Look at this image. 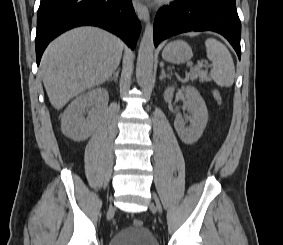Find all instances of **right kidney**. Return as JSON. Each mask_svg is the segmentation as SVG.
<instances>
[{"mask_svg": "<svg viewBox=\"0 0 283 245\" xmlns=\"http://www.w3.org/2000/svg\"><path fill=\"white\" fill-rule=\"evenodd\" d=\"M109 94L104 88H95L76 97L61 118L62 133L75 141L87 139L94 124L108 105ZM87 112V118L83 114Z\"/></svg>", "mask_w": 283, "mask_h": 245, "instance_id": "right-kidney-1", "label": "right kidney"}]
</instances>
